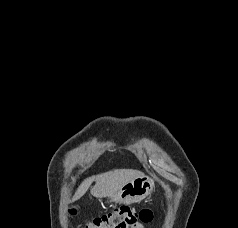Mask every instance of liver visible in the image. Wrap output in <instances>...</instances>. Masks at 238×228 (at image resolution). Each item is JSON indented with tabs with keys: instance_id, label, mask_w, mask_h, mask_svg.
Listing matches in <instances>:
<instances>
[{
	"instance_id": "1",
	"label": "liver",
	"mask_w": 238,
	"mask_h": 228,
	"mask_svg": "<svg viewBox=\"0 0 238 228\" xmlns=\"http://www.w3.org/2000/svg\"><path fill=\"white\" fill-rule=\"evenodd\" d=\"M141 175H143L141 171L134 169H116L87 178L78 187L72 202L80 199L87 192L93 180L95 185L91 188V194L96 198H103L115 195L123 185Z\"/></svg>"
}]
</instances>
